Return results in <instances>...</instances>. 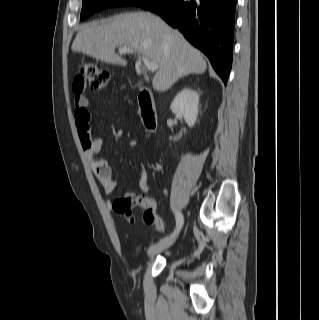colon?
I'll return each instance as SVG.
<instances>
[{"instance_id":"obj_1","label":"colon","mask_w":319,"mask_h":320,"mask_svg":"<svg viewBox=\"0 0 319 320\" xmlns=\"http://www.w3.org/2000/svg\"><path fill=\"white\" fill-rule=\"evenodd\" d=\"M87 84L92 89H105L111 84V72L108 69L98 67L92 62H83L80 65L79 75L74 80V85L80 89ZM81 127L86 135L90 134L89 119H84ZM141 203L142 199L140 197L118 198L113 202V210L117 214L125 216L129 222H134L132 209L139 207ZM143 218L147 224L154 225L157 230L162 231L165 229V223L155 213L146 210Z\"/></svg>"}]
</instances>
